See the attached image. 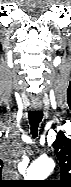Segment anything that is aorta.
<instances>
[{
	"mask_svg": "<svg viewBox=\"0 0 71 187\" xmlns=\"http://www.w3.org/2000/svg\"><path fill=\"white\" fill-rule=\"evenodd\" d=\"M55 167L51 158H41L33 162L27 169L26 178L28 180H44L47 178Z\"/></svg>",
	"mask_w": 71,
	"mask_h": 187,
	"instance_id": "aorta-1",
	"label": "aorta"
}]
</instances>
